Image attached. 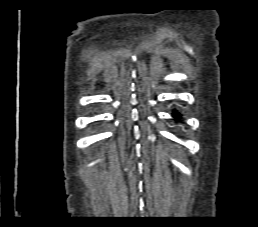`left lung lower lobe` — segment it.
<instances>
[{"mask_svg": "<svg viewBox=\"0 0 258 227\" xmlns=\"http://www.w3.org/2000/svg\"><path fill=\"white\" fill-rule=\"evenodd\" d=\"M172 115H173V117L175 118L176 121L181 122L180 121V119H181V114L180 113H178L177 111H173Z\"/></svg>", "mask_w": 258, "mask_h": 227, "instance_id": "left-lung-lower-lobe-1", "label": "left lung lower lobe"}]
</instances>
